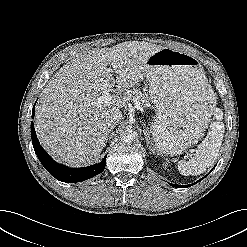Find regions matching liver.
Segmentation results:
<instances>
[{
	"label": "liver",
	"mask_w": 247,
	"mask_h": 247,
	"mask_svg": "<svg viewBox=\"0 0 247 247\" xmlns=\"http://www.w3.org/2000/svg\"><path fill=\"white\" fill-rule=\"evenodd\" d=\"M162 48L148 42H124L79 54L61 67L42 90L35 109V128L44 148L71 164L96 159L107 140L106 115L121 113L120 108L132 98L131 88L145 76L146 61ZM115 83L121 89L112 95L111 103H98L101 93Z\"/></svg>",
	"instance_id": "obj_1"
}]
</instances>
